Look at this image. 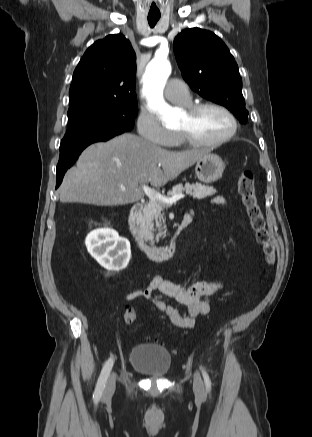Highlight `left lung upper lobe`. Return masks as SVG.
I'll return each mask as SVG.
<instances>
[{
  "label": "left lung upper lobe",
  "instance_id": "obj_1",
  "mask_svg": "<svg viewBox=\"0 0 312 437\" xmlns=\"http://www.w3.org/2000/svg\"><path fill=\"white\" fill-rule=\"evenodd\" d=\"M174 53L183 78L195 92L247 123L238 66L218 36L200 28L184 30L174 40Z\"/></svg>",
  "mask_w": 312,
  "mask_h": 437
}]
</instances>
